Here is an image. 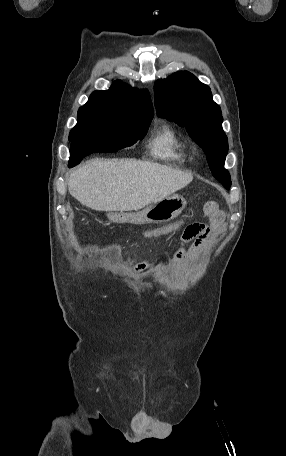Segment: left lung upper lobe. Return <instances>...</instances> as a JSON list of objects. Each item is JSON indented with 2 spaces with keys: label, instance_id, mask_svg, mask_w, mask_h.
I'll list each match as a JSON object with an SVG mask.
<instances>
[{
  "label": "left lung upper lobe",
  "instance_id": "left-lung-upper-lobe-1",
  "mask_svg": "<svg viewBox=\"0 0 286 456\" xmlns=\"http://www.w3.org/2000/svg\"><path fill=\"white\" fill-rule=\"evenodd\" d=\"M157 115L185 127L203 148L213 176L226 188L230 175L224 169L228 139L222 129V112L212 99L210 88L193 74L180 71L154 85Z\"/></svg>",
  "mask_w": 286,
  "mask_h": 456
}]
</instances>
